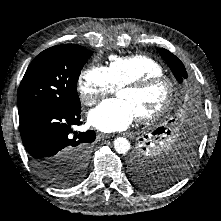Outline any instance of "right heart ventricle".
I'll use <instances>...</instances> for the list:
<instances>
[{
	"mask_svg": "<svg viewBox=\"0 0 221 221\" xmlns=\"http://www.w3.org/2000/svg\"><path fill=\"white\" fill-rule=\"evenodd\" d=\"M107 69L115 87H121L149 75L164 73L160 63L142 54L113 56L110 58Z\"/></svg>",
	"mask_w": 221,
	"mask_h": 221,
	"instance_id": "e07e8e85",
	"label": "right heart ventricle"
}]
</instances>
